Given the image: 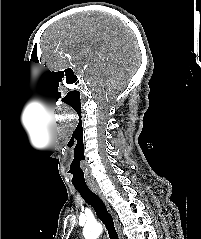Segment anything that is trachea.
Here are the masks:
<instances>
[{
  "mask_svg": "<svg viewBox=\"0 0 201 239\" xmlns=\"http://www.w3.org/2000/svg\"><path fill=\"white\" fill-rule=\"evenodd\" d=\"M76 190L80 193L85 202L91 205L96 212L98 218L105 225L110 239H119L117 231L115 229L114 221L111 214L108 212L104 202L94 192H92L87 186H75Z\"/></svg>",
  "mask_w": 201,
  "mask_h": 239,
  "instance_id": "obj_1",
  "label": "trachea"
}]
</instances>
